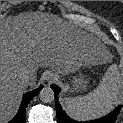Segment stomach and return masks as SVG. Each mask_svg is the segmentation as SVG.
<instances>
[{
    "mask_svg": "<svg viewBox=\"0 0 123 123\" xmlns=\"http://www.w3.org/2000/svg\"><path fill=\"white\" fill-rule=\"evenodd\" d=\"M56 73L58 72L56 71ZM83 85H84L83 75L79 71L78 75L73 77V84H72L73 90L78 91Z\"/></svg>",
    "mask_w": 123,
    "mask_h": 123,
    "instance_id": "1",
    "label": "stomach"
}]
</instances>
